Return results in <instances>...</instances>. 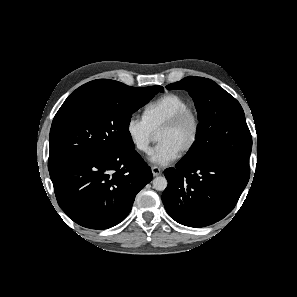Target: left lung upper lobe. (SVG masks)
<instances>
[{
	"label": "left lung upper lobe",
	"mask_w": 297,
	"mask_h": 297,
	"mask_svg": "<svg viewBox=\"0 0 297 297\" xmlns=\"http://www.w3.org/2000/svg\"><path fill=\"white\" fill-rule=\"evenodd\" d=\"M166 88L188 91L199 117L196 141L182 162L216 159L249 169L252 138L243 109L235 98L203 77L189 76Z\"/></svg>",
	"instance_id": "1"
}]
</instances>
